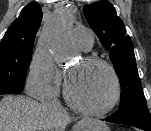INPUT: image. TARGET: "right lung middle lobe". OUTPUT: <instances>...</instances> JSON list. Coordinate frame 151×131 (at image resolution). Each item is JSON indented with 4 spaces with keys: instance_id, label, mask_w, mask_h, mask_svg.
I'll list each match as a JSON object with an SVG mask.
<instances>
[{
    "instance_id": "1",
    "label": "right lung middle lobe",
    "mask_w": 151,
    "mask_h": 131,
    "mask_svg": "<svg viewBox=\"0 0 151 131\" xmlns=\"http://www.w3.org/2000/svg\"><path fill=\"white\" fill-rule=\"evenodd\" d=\"M33 45L0 43V94L23 91Z\"/></svg>"
}]
</instances>
